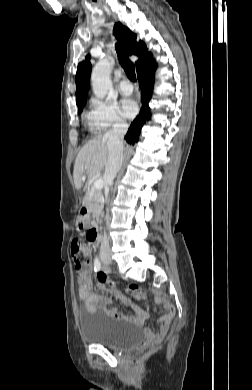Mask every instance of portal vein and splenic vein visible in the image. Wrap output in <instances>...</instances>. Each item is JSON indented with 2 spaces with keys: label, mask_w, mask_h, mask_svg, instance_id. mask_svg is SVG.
Segmentation results:
<instances>
[{
  "label": "portal vein and splenic vein",
  "mask_w": 252,
  "mask_h": 390,
  "mask_svg": "<svg viewBox=\"0 0 252 390\" xmlns=\"http://www.w3.org/2000/svg\"><path fill=\"white\" fill-rule=\"evenodd\" d=\"M103 188V180L102 179H97L95 180L94 184H93V187L91 189V193L92 194L94 192V190H97V189H102Z\"/></svg>",
  "instance_id": "obj_1"
}]
</instances>
